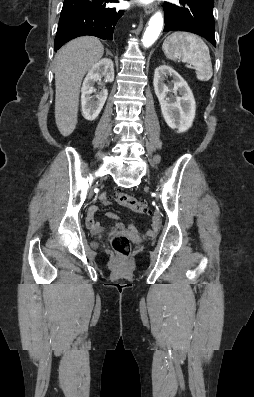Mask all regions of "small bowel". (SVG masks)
Wrapping results in <instances>:
<instances>
[{"mask_svg": "<svg viewBox=\"0 0 254 397\" xmlns=\"http://www.w3.org/2000/svg\"><path fill=\"white\" fill-rule=\"evenodd\" d=\"M100 200H101V202H102L103 204H108V203H109V198H108L107 195H102V196L100 197ZM97 210H98V208H97L96 206L90 207V209H89V211H88V214H87V218H86V225H87V227H88L91 231H93L94 233L102 232L103 229H104V228L101 226V224H100L98 221L95 220L94 215H95V213L97 212ZM106 215H107L109 218H112V219H117V218H118L115 214H113V213H111V212H108ZM116 228H117L118 230H121L123 227H122L121 224H117V225H116ZM157 229H158V224H157V223H154L153 226H152V229L148 230V232H147L148 235H150V236L154 235V234L156 233Z\"/></svg>", "mask_w": 254, "mask_h": 397, "instance_id": "obj_1", "label": "small bowel"}]
</instances>
